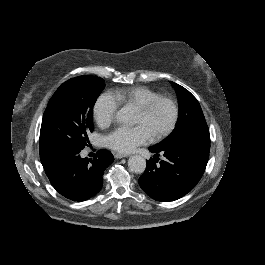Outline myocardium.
<instances>
[{"label":"myocardium","mask_w":265,"mask_h":265,"mask_svg":"<svg viewBox=\"0 0 265 265\" xmlns=\"http://www.w3.org/2000/svg\"><path fill=\"white\" fill-rule=\"evenodd\" d=\"M159 103L168 104L171 108L172 115H171V119L169 123L167 124V126L164 127L160 132H158L156 135L153 136L152 138L153 142L159 141L163 139L164 137H166L167 135H169L174 130L177 124L178 118H179L178 104L176 103V101L166 96H158V97H155L149 100L141 108H139L137 112L140 113L141 115L147 116L152 112V110Z\"/></svg>","instance_id":"f54148a6"}]
</instances>
